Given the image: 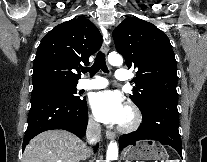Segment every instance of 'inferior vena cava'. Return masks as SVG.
I'll return each instance as SVG.
<instances>
[{"label": "inferior vena cava", "mask_w": 207, "mask_h": 162, "mask_svg": "<svg viewBox=\"0 0 207 162\" xmlns=\"http://www.w3.org/2000/svg\"><path fill=\"white\" fill-rule=\"evenodd\" d=\"M87 142L94 145L101 139V127L100 124L96 121L90 119L88 121L87 130H86Z\"/></svg>", "instance_id": "602c4592"}]
</instances>
